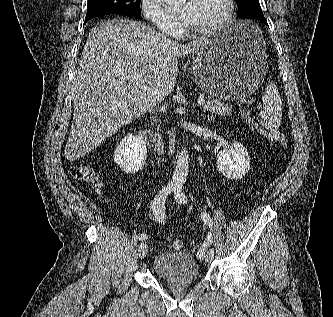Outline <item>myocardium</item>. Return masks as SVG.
<instances>
[{"label":"myocardium","instance_id":"f54148a6","mask_svg":"<svg viewBox=\"0 0 333 317\" xmlns=\"http://www.w3.org/2000/svg\"><path fill=\"white\" fill-rule=\"evenodd\" d=\"M223 4H224V11L222 15L214 23L202 28L194 27L190 24H187L186 27L188 32L195 35H209L223 28L233 15L234 0H223Z\"/></svg>","mask_w":333,"mask_h":317}]
</instances>
